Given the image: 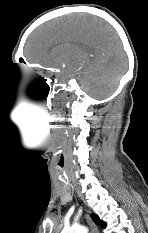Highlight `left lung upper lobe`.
Wrapping results in <instances>:
<instances>
[{"label": "left lung upper lobe", "instance_id": "obj_1", "mask_svg": "<svg viewBox=\"0 0 148 233\" xmlns=\"http://www.w3.org/2000/svg\"><path fill=\"white\" fill-rule=\"evenodd\" d=\"M92 218H93V220H94L99 226H101V227H103V228L106 227L105 222L102 221V220H100L99 217H98L97 215L93 214V215H92Z\"/></svg>", "mask_w": 148, "mask_h": 233}]
</instances>
